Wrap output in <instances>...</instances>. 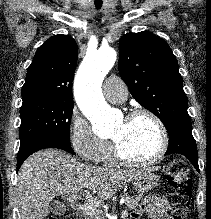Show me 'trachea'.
<instances>
[{"mask_svg": "<svg viewBox=\"0 0 211 219\" xmlns=\"http://www.w3.org/2000/svg\"><path fill=\"white\" fill-rule=\"evenodd\" d=\"M97 8H98V9H100V8H101V6H97Z\"/></svg>", "mask_w": 211, "mask_h": 219, "instance_id": "trachea-1", "label": "trachea"}]
</instances>
